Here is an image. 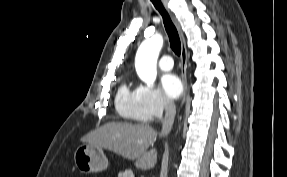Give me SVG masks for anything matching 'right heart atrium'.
I'll return each mask as SVG.
<instances>
[{
	"label": "right heart atrium",
	"instance_id": "right-heart-atrium-1",
	"mask_svg": "<svg viewBox=\"0 0 287 177\" xmlns=\"http://www.w3.org/2000/svg\"><path fill=\"white\" fill-rule=\"evenodd\" d=\"M138 93L141 116L145 120H156L172 107L170 101L156 88L141 85L138 87Z\"/></svg>",
	"mask_w": 287,
	"mask_h": 177
}]
</instances>
